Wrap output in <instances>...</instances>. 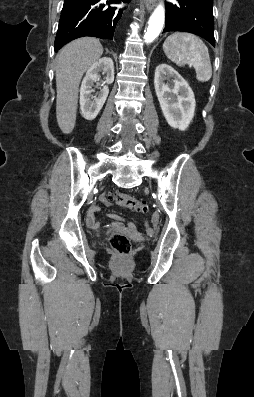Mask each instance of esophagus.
Segmentation results:
<instances>
[{
  "mask_svg": "<svg viewBox=\"0 0 254 397\" xmlns=\"http://www.w3.org/2000/svg\"><path fill=\"white\" fill-rule=\"evenodd\" d=\"M156 5V0H147L145 2V7L148 11H151Z\"/></svg>",
  "mask_w": 254,
  "mask_h": 397,
  "instance_id": "34e87169",
  "label": "esophagus"
}]
</instances>
